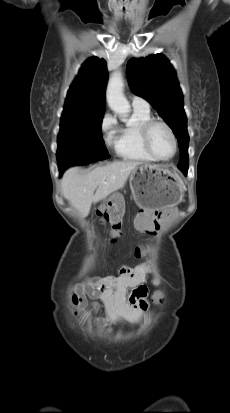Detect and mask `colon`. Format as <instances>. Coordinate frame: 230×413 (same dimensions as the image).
<instances>
[{
	"instance_id": "colon-1",
	"label": "colon",
	"mask_w": 230,
	"mask_h": 413,
	"mask_svg": "<svg viewBox=\"0 0 230 413\" xmlns=\"http://www.w3.org/2000/svg\"><path fill=\"white\" fill-rule=\"evenodd\" d=\"M124 205L125 193L113 192L111 197H108V203L103 204L97 210V215L100 221L111 226L110 234L113 237H118L121 234ZM136 256L141 257L142 252L137 251ZM160 298V296L156 297L157 300H159Z\"/></svg>"
}]
</instances>
